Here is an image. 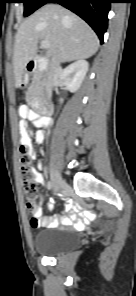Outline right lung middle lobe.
<instances>
[{"instance_id": "obj_1", "label": "right lung middle lobe", "mask_w": 136, "mask_h": 296, "mask_svg": "<svg viewBox=\"0 0 136 296\" xmlns=\"http://www.w3.org/2000/svg\"><path fill=\"white\" fill-rule=\"evenodd\" d=\"M18 2L24 3V16H28L43 6L46 0H19Z\"/></svg>"}]
</instances>
